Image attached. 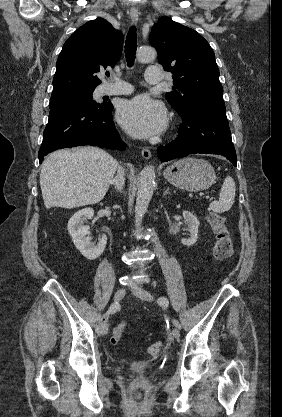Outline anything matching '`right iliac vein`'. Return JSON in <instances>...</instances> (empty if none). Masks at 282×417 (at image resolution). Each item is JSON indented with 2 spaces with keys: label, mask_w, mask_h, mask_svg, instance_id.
I'll use <instances>...</instances> for the list:
<instances>
[{
  "label": "right iliac vein",
  "mask_w": 282,
  "mask_h": 417,
  "mask_svg": "<svg viewBox=\"0 0 282 417\" xmlns=\"http://www.w3.org/2000/svg\"><path fill=\"white\" fill-rule=\"evenodd\" d=\"M125 294H126V290L124 288L117 290L114 295V301L116 302L120 301L125 296ZM107 332H108V325L105 323L100 328V334L106 335Z\"/></svg>",
  "instance_id": "right-iliac-vein-1"
}]
</instances>
